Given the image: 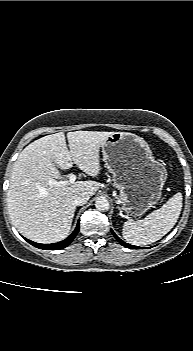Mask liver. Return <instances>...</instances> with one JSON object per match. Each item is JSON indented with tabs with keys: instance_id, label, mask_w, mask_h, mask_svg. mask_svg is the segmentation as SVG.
I'll return each instance as SVG.
<instances>
[{
	"instance_id": "obj_1",
	"label": "liver",
	"mask_w": 193,
	"mask_h": 351,
	"mask_svg": "<svg viewBox=\"0 0 193 351\" xmlns=\"http://www.w3.org/2000/svg\"><path fill=\"white\" fill-rule=\"evenodd\" d=\"M114 132H68V150L63 132L44 136L24 148L13 165L7 206L16 229L38 243H55L67 237L80 192L93 196L96 181H78L66 186L51 185L61 179L58 169L75 164L87 175L100 174V148ZM62 181V180H60Z\"/></svg>"
}]
</instances>
